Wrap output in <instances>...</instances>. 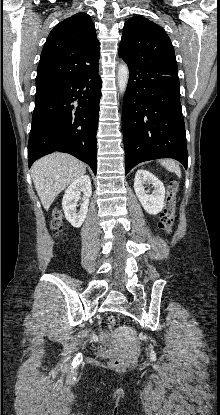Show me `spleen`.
Listing matches in <instances>:
<instances>
[{"mask_svg": "<svg viewBox=\"0 0 220 415\" xmlns=\"http://www.w3.org/2000/svg\"><path fill=\"white\" fill-rule=\"evenodd\" d=\"M160 163L168 171L174 172L178 177H181V169L175 161L169 160V159H164V160H161Z\"/></svg>", "mask_w": 220, "mask_h": 415, "instance_id": "1", "label": "spleen"}]
</instances>
